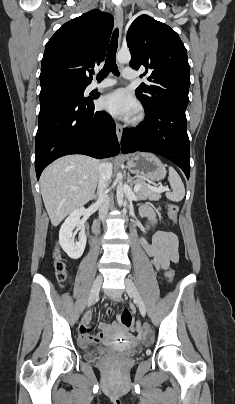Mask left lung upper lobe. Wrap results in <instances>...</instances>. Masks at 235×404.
Returning a JSON list of instances; mask_svg holds the SVG:
<instances>
[{"label":"left lung upper lobe","mask_w":235,"mask_h":404,"mask_svg":"<svg viewBox=\"0 0 235 404\" xmlns=\"http://www.w3.org/2000/svg\"><path fill=\"white\" fill-rule=\"evenodd\" d=\"M130 66L145 68L148 84H140L136 95L145 110L162 105L186 108L190 86L187 50L178 34L148 15H140L127 31Z\"/></svg>","instance_id":"1"}]
</instances>
